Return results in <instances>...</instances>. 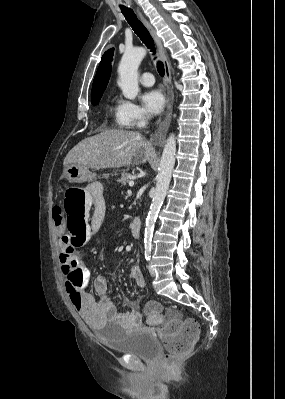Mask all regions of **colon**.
I'll return each mask as SVG.
<instances>
[{"label":"colon","instance_id":"1","mask_svg":"<svg viewBox=\"0 0 285 399\" xmlns=\"http://www.w3.org/2000/svg\"><path fill=\"white\" fill-rule=\"evenodd\" d=\"M83 202V194L76 190H69L66 191L60 203L65 227L70 236L69 244L63 249L60 260L66 274L67 293L76 306L81 304L83 296L81 281L75 280L72 274L76 266V250L87 244L92 237V229L84 212ZM145 312L158 316L161 308L156 301H150L145 306ZM160 332L167 348L163 361L170 366L178 357L191 351L199 337L200 329L194 321H183L178 316H173L167 321L165 327L160 329Z\"/></svg>","mask_w":285,"mask_h":399}]
</instances>
